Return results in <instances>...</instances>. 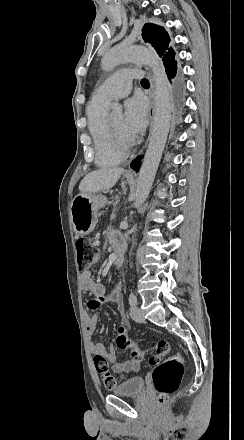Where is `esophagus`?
<instances>
[{
    "label": "esophagus",
    "mask_w": 244,
    "mask_h": 440,
    "mask_svg": "<svg viewBox=\"0 0 244 440\" xmlns=\"http://www.w3.org/2000/svg\"><path fill=\"white\" fill-rule=\"evenodd\" d=\"M154 110H155V99H154V95H151L150 106H149V132H148V138H147L145 146L148 144L150 137H151V134H152V127H153V121H154Z\"/></svg>",
    "instance_id": "esophagus-1"
}]
</instances>
